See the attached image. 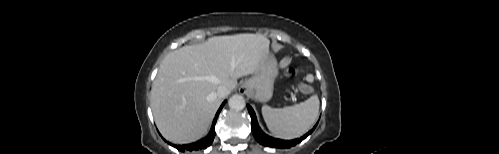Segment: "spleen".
Masks as SVG:
<instances>
[{"label":"spleen","mask_w":499,"mask_h":154,"mask_svg":"<svg viewBox=\"0 0 499 154\" xmlns=\"http://www.w3.org/2000/svg\"><path fill=\"white\" fill-rule=\"evenodd\" d=\"M318 112L317 95L281 109H274L268 105L262 107V115L269 131L282 139H294L305 134L316 121Z\"/></svg>","instance_id":"1"}]
</instances>
